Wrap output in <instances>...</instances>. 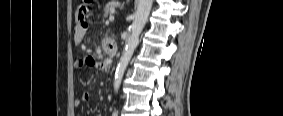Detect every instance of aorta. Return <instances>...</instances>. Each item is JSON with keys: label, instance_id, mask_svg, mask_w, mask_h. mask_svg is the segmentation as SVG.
Returning <instances> with one entry per match:
<instances>
[{"label": "aorta", "instance_id": "1", "mask_svg": "<svg viewBox=\"0 0 283 116\" xmlns=\"http://www.w3.org/2000/svg\"><path fill=\"white\" fill-rule=\"evenodd\" d=\"M153 0H138L134 20L131 24L130 35L126 40L125 48L117 65L114 80V90L117 93L121 85L124 72L130 59L139 44V35L142 32L151 11Z\"/></svg>", "mask_w": 283, "mask_h": 116}]
</instances>
